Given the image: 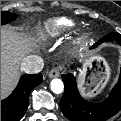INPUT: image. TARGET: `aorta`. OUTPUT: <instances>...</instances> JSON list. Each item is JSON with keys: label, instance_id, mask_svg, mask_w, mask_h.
I'll return each instance as SVG.
<instances>
[{"label": "aorta", "instance_id": "1", "mask_svg": "<svg viewBox=\"0 0 121 121\" xmlns=\"http://www.w3.org/2000/svg\"><path fill=\"white\" fill-rule=\"evenodd\" d=\"M51 85V90L55 94H60L64 90V84L63 81L60 79H53L50 83Z\"/></svg>", "mask_w": 121, "mask_h": 121}]
</instances>
